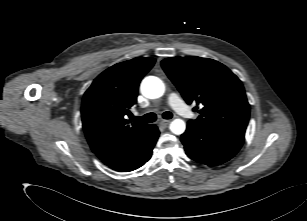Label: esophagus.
Instances as JSON below:
<instances>
[{"label":"esophagus","mask_w":307,"mask_h":221,"mask_svg":"<svg viewBox=\"0 0 307 221\" xmlns=\"http://www.w3.org/2000/svg\"><path fill=\"white\" fill-rule=\"evenodd\" d=\"M169 123H170V120H162L160 121L159 125L162 127H166L169 125Z\"/></svg>","instance_id":"obj_1"}]
</instances>
